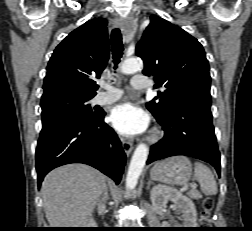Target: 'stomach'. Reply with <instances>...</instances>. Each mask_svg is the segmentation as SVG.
<instances>
[{"label":"stomach","mask_w":252,"mask_h":231,"mask_svg":"<svg viewBox=\"0 0 252 231\" xmlns=\"http://www.w3.org/2000/svg\"><path fill=\"white\" fill-rule=\"evenodd\" d=\"M192 175V167L189 159L185 156H175L156 163L150 176L153 180L172 184H186Z\"/></svg>","instance_id":"obj_1"}]
</instances>
